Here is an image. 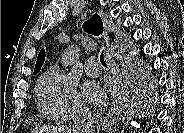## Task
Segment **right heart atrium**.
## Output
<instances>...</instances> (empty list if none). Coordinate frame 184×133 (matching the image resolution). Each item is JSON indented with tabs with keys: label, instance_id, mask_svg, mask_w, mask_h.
<instances>
[{
	"label": "right heart atrium",
	"instance_id": "1",
	"mask_svg": "<svg viewBox=\"0 0 184 133\" xmlns=\"http://www.w3.org/2000/svg\"><path fill=\"white\" fill-rule=\"evenodd\" d=\"M37 92L41 111L49 119L69 120L87 110L74 81L58 68L39 79Z\"/></svg>",
	"mask_w": 184,
	"mask_h": 133
}]
</instances>
